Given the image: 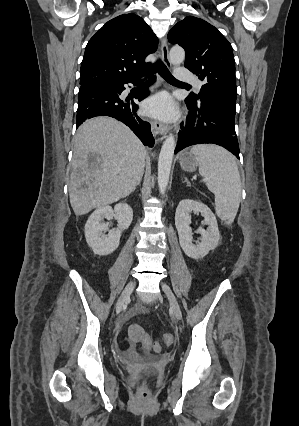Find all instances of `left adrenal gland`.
Segmentation results:
<instances>
[{"label":"left adrenal gland","mask_w":299,"mask_h":426,"mask_svg":"<svg viewBox=\"0 0 299 426\" xmlns=\"http://www.w3.org/2000/svg\"><path fill=\"white\" fill-rule=\"evenodd\" d=\"M184 182H186L187 184H189V181L186 177H184Z\"/></svg>","instance_id":"left-adrenal-gland-1"}]
</instances>
